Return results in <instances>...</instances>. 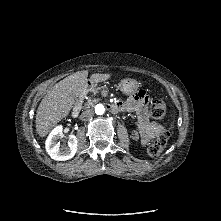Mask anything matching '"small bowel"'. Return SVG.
I'll use <instances>...</instances> for the list:
<instances>
[{
	"instance_id": "obj_1",
	"label": "small bowel",
	"mask_w": 221,
	"mask_h": 221,
	"mask_svg": "<svg viewBox=\"0 0 221 221\" xmlns=\"http://www.w3.org/2000/svg\"><path fill=\"white\" fill-rule=\"evenodd\" d=\"M126 105L128 110L136 112L141 142L143 145H147L151 140L157 137L163 127L150 120L147 111L146 97L144 95L136 94L127 101Z\"/></svg>"
}]
</instances>
